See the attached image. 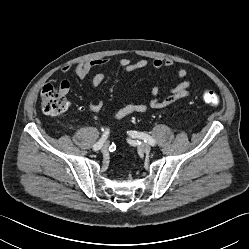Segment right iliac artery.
Listing matches in <instances>:
<instances>
[{
	"instance_id": "right-iliac-artery-1",
	"label": "right iliac artery",
	"mask_w": 249,
	"mask_h": 249,
	"mask_svg": "<svg viewBox=\"0 0 249 249\" xmlns=\"http://www.w3.org/2000/svg\"><path fill=\"white\" fill-rule=\"evenodd\" d=\"M108 135H109V129H107L105 131V133L103 134L102 138L97 143L94 144L93 149L95 151L99 150L102 147V145L105 142V140L107 139Z\"/></svg>"
}]
</instances>
